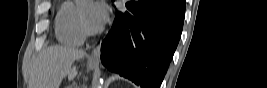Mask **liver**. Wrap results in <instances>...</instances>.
<instances>
[{"instance_id": "1", "label": "liver", "mask_w": 267, "mask_h": 88, "mask_svg": "<svg viewBox=\"0 0 267 88\" xmlns=\"http://www.w3.org/2000/svg\"><path fill=\"white\" fill-rule=\"evenodd\" d=\"M85 55L83 50L67 46L56 45L42 50L33 63L29 88H59L64 77L73 80L78 71L72 65Z\"/></svg>"}]
</instances>
